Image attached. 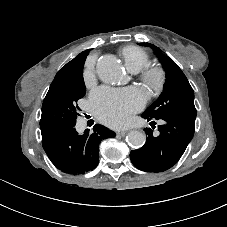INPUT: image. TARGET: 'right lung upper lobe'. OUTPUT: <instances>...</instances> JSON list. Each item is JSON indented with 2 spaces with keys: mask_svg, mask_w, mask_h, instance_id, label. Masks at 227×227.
Instances as JSON below:
<instances>
[{
  "mask_svg": "<svg viewBox=\"0 0 227 227\" xmlns=\"http://www.w3.org/2000/svg\"><path fill=\"white\" fill-rule=\"evenodd\" d=\"M89 52L90 50H86L77 55L73 60L68 62L58 71L55 78L68 75H76L80 71L82 65L84 66L86 56L89 54Z\"/></svg>",
  "mask_w": 227,
  "mask_h": 227,
  "instance_id": "1",
  "label": "right lung upper lobe"
}]
</instances>
